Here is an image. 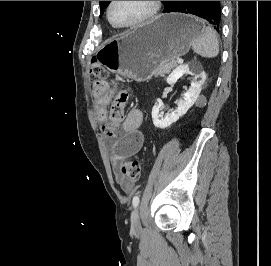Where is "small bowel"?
I'll list each match as a JSON object with an SVG mask.
<instances>
[{"mask_svg":"<svg viewBox=\"0 0 271 266\" xmlns=\"http://www.w3.org/2000/svg\"><path fill=\"white\" fill-rule=\"evenodd\" d=\"M93 96L96 116L103 125V131L108 138L115 140L118 162L137 153L143 144V135L140 132L142 111L132 108L126 112L128 98L121 99L114 90L107 87L94 86ZM119 130L123 133L121 138L117 137ZM118 162L113 164V172L120 187L128 192L133 187V181L120 174Z\"/></svg>","mask_w":271,"mask_h":266,"instance_id":"1","label":"small bowel"}]
</instances>
